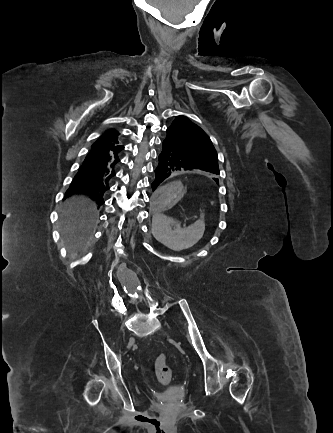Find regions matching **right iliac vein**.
I'll list each match as a JSON object with an SVG mask.
<instances>
[{
  "mask_svg": "<svg viewBox=\"0 0 333 433\" xmlns=\"http://www.w3.org/2000/svg\"><path fill=\"white\" fill-rule=\"evenodd\" d=\"M134 343H135V338H134V337H131V338L129 339V342H128V347L130 348L132 345H134Z\"/></svg>",
  "mask_w": 333,
  "mask_h": 433,
  "instance_id": "63e3f726",
  "label": "right iliac vein"
}]
</instances>
